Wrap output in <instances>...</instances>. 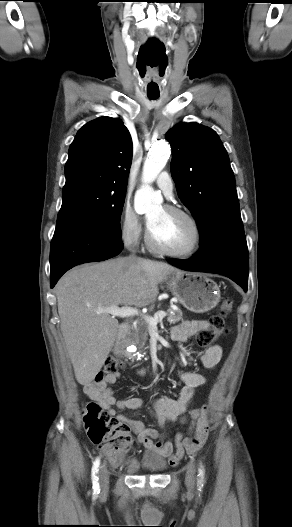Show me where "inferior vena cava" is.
Here are the masks:
<instances>
[{
    "label": "inferior vena cava",
    "mask_w": 292,
    "mask_h": 527,
    "mask_svg": "<svg viewBox=\"0 0 292 527\" xmlns=\"http://www.w3.org/2000/svg\"><path fill=\"white\" fill-rule=\"evenodd\" d=\"M132 257H135V253L133 252Z\"/></svg>",
    "instance_id": "obj_1"
}]
</instances>
